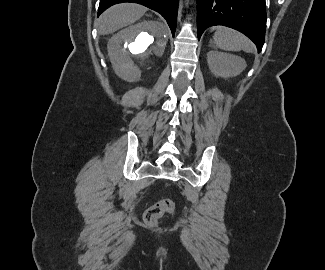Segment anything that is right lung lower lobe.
<instances>
[{
    "label": "right lung lower lobe",
    "mask_w": 325,
    "mask_h": 270,
    "mask_svg": "<svg viewBox=\"0 0 325 270\" xmlns=\"http://www.w3.org/2000/svg\"><path fill=\"white\" fill-rule=\"evenodd\" d=\"M122 2H133L142 4L160 13L167 21L172 35L174 36L177 23V12L179 0H100L98 15L108 7Z\"/></svg>",
    "instance_id": "98d812e1"
}]
</instances>
